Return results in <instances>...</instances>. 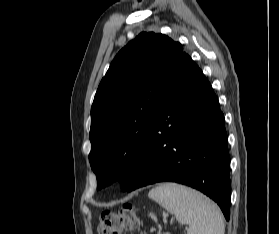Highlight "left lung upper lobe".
I'll return each mask as SVG.
<instances>
[{
	"label": "left lung upper lobe",
	"mask_w": 279,
	"mask_h": 234,
	"mask_svg": "<svg viewBox=\"0 0 279 234\" xmlns=\"http://www.w3.org/2000/svg\"><path fill=\"white\" fill-rule=\"evenodd\" d=\"M182 54L181 44L166 35L142 32L110 64L91 107L89 161L98 189L120 180L126 190Z\"/></svg>",
	"instance_id": "5c2ea615"
}]
</instances>
